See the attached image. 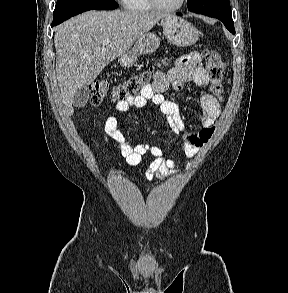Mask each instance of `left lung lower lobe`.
Here are the masks:
<instances>
[{"instance_id":"obj_1","label":"left lung lower lobe","mask_w":288,"mask_h":293,"mask_svg":"<svg viewBox=\"0 0 288 293\" xmlns=\"http://www.w3.org/2000/svg\"><path fill=\"white\" fill-rule=\"evenodd\" d=\"M177 15H182L181 13H177ZM215 18V17H214ZM219 19L220 21L223 22V24L225 25V27L232 33V34H235V29H234V23L233 21H228V20H224V19H220V18H217Z\"/></svg>"}]
</instances>
